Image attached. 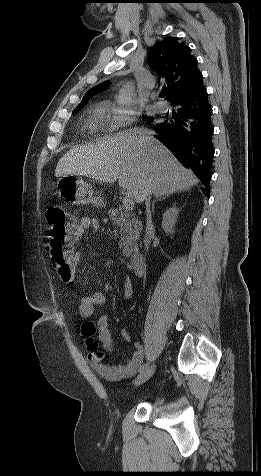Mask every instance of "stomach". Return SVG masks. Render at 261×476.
I'll use <instances>...</instances> for the list:
<instances>
[{
	"instance_id": "0dacf381",
	"label": "stomach",
	"mask_w": 261,
	"mask_h": 476,
	"mask_svg": "<svg viewBox=\"0 0 261 476\" xmlns=\"http://www.w3.org/2000/svg\"><path fill=\"white\" fill-rule=\"evenodd\" d=\"M60 194L72 204H94L103 206V198L94 192L93 187L77 175H66L57 182Z\"/></svg>"
}]
</instances>
